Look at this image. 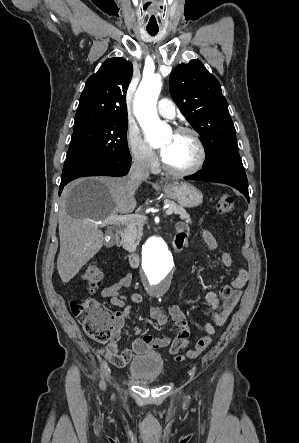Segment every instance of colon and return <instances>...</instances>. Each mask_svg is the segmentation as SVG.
I'll list each match as a JSON object with an SVG mask.
<instances>
[{"label":"colon","instance_id":"5ec220e1","mask_svg":"<svg viewBox=\"0 0 299 443\" xmlns=\"http://www.w3.org/2000/svg\"><path fill=\"white\" fill-rule=\"evenodd\" d=\"M221 215L229 214L234 209V198L224 194L220 196L216 206ZM83 281L94 292L103 279V273L96 261L89 262L82 274ZM73 315L81 324L84 333L99 344H106L112 340L117 315L94 298L81 301H72L70 304ZM211 344V337L204 336L197 340L195 346L184 355L178 356L177 361L198 358Z\"/></svg>","mask_w":299,"mask_h":443}]
</instances>
